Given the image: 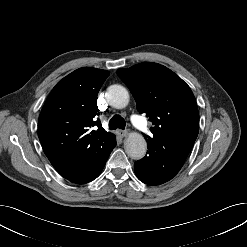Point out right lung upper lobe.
Here are the masks:
<instances>
[{"instance_id": "cb5924a9", "label": "right lung upper lobe", "mask_w": 247, "mask_h": 247, "mask_svg": "<svg viewBox=\"0 0 247 247\" xmlns=\"http://www.w3.org/2000/svg\"><path fill=\"white\" fill-rule=\"evenodd\" d=\"M109 72L83 67L63 78L39 115L38 136L45 155L58 171L103 152L115 139L101 128L97 94ZM98 128L93 130L92 128Z\"/></svg>"}]
</instances>
